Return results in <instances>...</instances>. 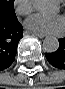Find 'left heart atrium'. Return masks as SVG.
I'll return each instance as SVG.
<instances>
[{"label":"left heart atrium","mask_w":65,"mask_h":89,"mask_svg":"<svg viewBox=\"0 0 65 89\" xmlns=\"http://www.w3.org/2000/svg\"><path fill=\"white\" fill-rule=\"evenodd\" d=\"M64 24L61 16L40 13L31 15L24 22L27 31L40 35L59 34L63 31Z\"/></svg>","instance_id":"left-heart-atrium-1"}]
</instances>
